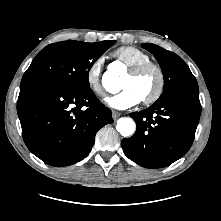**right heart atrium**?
<instances>
[{
    "instance_id": "obj_1",
    "label": "right heart atrium",
    "mask_w": 221,
    "mask_h": 221,
    "mask_svg": "<svg viewBox=\"0 0 221 221\" xmlns=\"http://www.w3.org/2000/svg\"><path fill=\"white\" fill-rule=\"evenodd\" d=\"M103 64L104 57L98 56L90 63L85 72L87 85L96 95L104 94V89L101 83Z\"/></svg>"
}]
</instances>
